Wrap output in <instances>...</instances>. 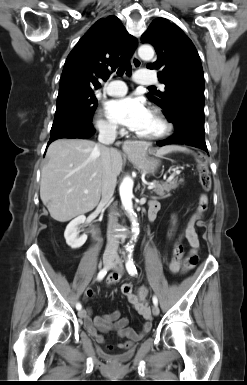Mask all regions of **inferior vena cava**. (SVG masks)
<instances>
[{
	"label": "inferior vena cava",
	"instance_id": "602c4592",
	"mask_svg": "<svg viewBox=\"0 0 247 385\" xmlns=\"http://www.w3.org/2000/svg\"><path fill=\"white\" fill-rule=\"evenodd\" d=\"M116 126L112 124H106L99 128L98 141L103 148L102 164H103V178H102V199L104 204H110L113 200V194L116 187L117 176L113 173L111 167V159L109 155L108 145L112 144L116 139ZM117 227L116 219L111 214L109 215L108 234H107V246L104 255H117L119 241L114 234V229Z\"/></svg>",
	"mask_w": 247,
	"mask_h": 385
}]
</instances>
